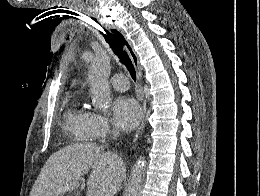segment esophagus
I'll list each match as a JSON object with an SVG mask.
<instances>
[{
    "label": "esophagus",
    "instance_id": "34e87169",
    "mask_svg": "<svg viewBox=\"0 0 260 196\" xmlns=\"http://www.w3.org/2000/svg\"><path fill=\"white\" fill-rule=\"evenodd\" d=\"M117 30L124 37V40H125L124 47H125L127 53L129 54L132 62H133V65H134V68L136 70L138 79L141 80L142 72H141V68H140V64H139V58L137 56V53L134 51L131 42L126 38L123 30H121L120 28H117ZM142 110H143V118H142V121H141L139 128L137 129V131L134 135V138H133L134 142L138 141L141 138L144 127H145V115H146V104L145 103H143Z\"/></svg>",
    "mask_w": 260,
    "mask_h": 196
}]
</instances>
